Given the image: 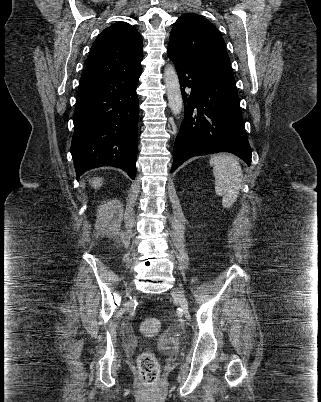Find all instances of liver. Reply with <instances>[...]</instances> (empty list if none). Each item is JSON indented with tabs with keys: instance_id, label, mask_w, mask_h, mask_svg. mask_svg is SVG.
I'll use <instances>...</instances> for the list:
<instances>
[{
	"instance_id": "6515ba94",
	"label": "liver",
	"mask_w": 321,
	"mask_h": 402,
	"mask_svg": "<svg viewBox=\"0 0 321 402\" xmlns=\"http://www.w3.org/2000/svg\"><path fill=\"white\" fill-rule=\"evenodd\" d=\"M91 183H92V185H93V187L95 189L99 188V187L102 186V179L101 178H95L94 180L91 181Z\"/></svg>"
}]
</instances>
